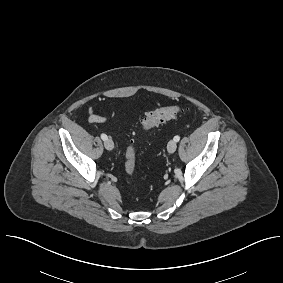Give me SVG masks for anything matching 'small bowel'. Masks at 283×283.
Segmentation results:
<instances>
[{
	"mask_svg": "<svg viewBox=\"0 0 283 283\" xmlns=\"http://www.w3.org/2000/svg\"><path fill=\"white\" fill-rule=\"evenodd\" d=\"M107 120V116L106 115H98L93 113V110L90 108L88 110V122L92 123V124H99V123H103Z\"/></svg>",
	"mask_w": 283,
	"mask_h": 283,
	"instance_id": "obj_1",
	"label": "small bowel"
}]
</instances>
